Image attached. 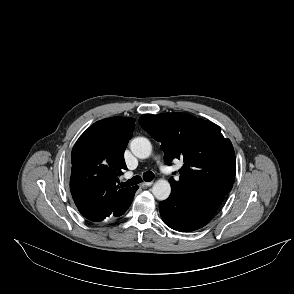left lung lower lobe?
Segmentation results:
<instances>
[{
    "mask_svg": "<svg viewBox=\"0 0 294 294\" xmlns=\"http://www.w3.org/2000/svg\"><path fill=\"white\" fill-rule=\"evenodd\" d=\"M221 202L209 203L204 197L171 192L160 202L161 218L170 228L180 232L197 230L211 221Z\"/></svg>",
    "mask_w": 294,
    "mask_h": 294,
    "instance_id": "0a47b994",
    "label": "left lung lower lobe"
}]
</instances>
